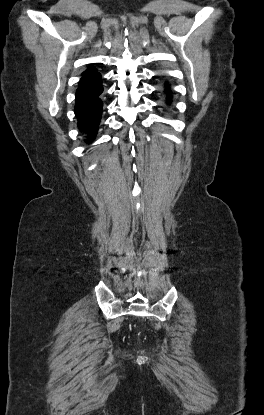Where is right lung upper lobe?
Returning a JSON list of instances; mask_svg holds the SVG:
<instances>
[{"instance_id":"right-lung-upper-lobe-1","label":"right lung upper lobe","mask_w":264,"mask_h":415,"mask_svg":"<svg viewBox=\"0 0 264 415\" xmlns=\"http://www.w3.org/2000/svg\"><path fill=\"white\" fill-rule=\"evenodd\" d=\"M96 71L97 70L94 67L90 66L85 72H83L82 75H88V74L94 73Z\"/></svg>"}]
</instances>
